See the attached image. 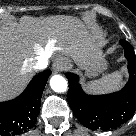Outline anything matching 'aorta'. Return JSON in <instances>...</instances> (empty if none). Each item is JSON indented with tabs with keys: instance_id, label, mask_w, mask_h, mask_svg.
<instances>
[{
	"instance_id": "762f6f07",
	"label": "aorta",
	"mask_w": 136,
	"mask_h": 136,
	"mask_svg": "<svg viewBox=\"0 0 136 136\" xmlns=\"http://www.w3.org/2000/svg\"><path fill=\"white\" fill-rule=\"evenodd\" d=\"M50 86L53 91L62 93L67 90L68 83L64 77L60 75H54L50 79Z\"/></svg>"
}]
</instances>
